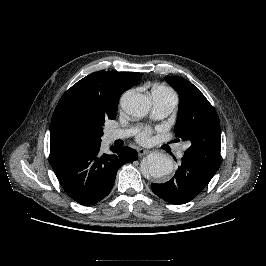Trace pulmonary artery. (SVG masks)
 Segmentation results:
<instances>
[{"instance_id":"obj_1","label":"pulmonary artery","mask_w":266,"mask_h":266,"mask_svg":"<svg viewBox=\"0 0 266 266\" xmlns=\"http://www.w3.org/2000/svg\"><path fill=\"white\" fill-rule=\"evenodd\" d=\"M152 113L154 119H162L169 115L176 107L178 98L177 95L168 88H156L152 91ZM133 133V129H110L106 132V139L109 142L124 139ZM186 146H182L179 151V156H182Z\"/></svg>"}]
</instances>
